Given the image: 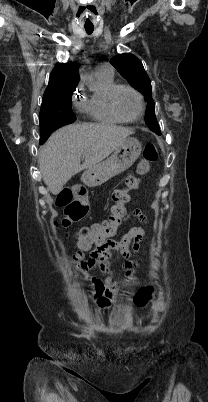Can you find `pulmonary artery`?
Returning <instances> with one entry per match:
<instances>
[{
	"label": "pulmonary artery",
	"mask_w": 208,
	"mask_h": 402,
	"mask_svg": "<svg viewBox=\"0 0 208 402\" xmlns=\"http://www.w3.org/2000/svg\"><path fill=\"white\" fill-rule=\"evenodd\" d=\"M94 72L96 74H101L109 78L114 77V70L108 63H101L94 67Z\"/></svg>",
	"instance_id": "e3ab8cb5"
}]
</instances>
